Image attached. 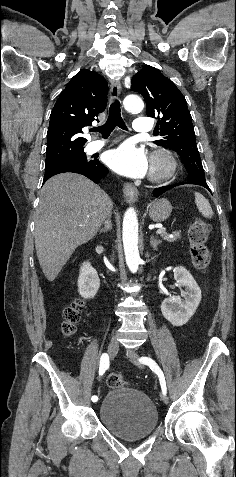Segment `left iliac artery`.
Listing matches in <instances>:
<instances>
[{
  "mask_svg": "<svg viewBox=\"0 0 236 477\" xmlns=\"http://www.w3.org/2000/svg\"><path fill=\"white\" fill-rule=\"evenodd\" d=\"M139 361L142 364L148 365L150 367V369L158 375L159 381H160V384H161V388H162V392H163V394H166L167 388H166L165 377H164V374H163L162 370L157 365V363L153 359H151L150 357H141L139 359Z\"/></svg>",
  "mask_w": 236,
  "mask_h": 477,
  "instance_id": "obj_1",
  "label": "left iliac artery"
}]
</instances>
